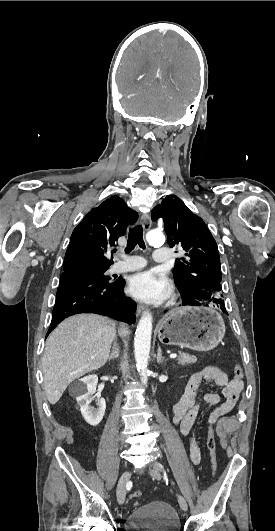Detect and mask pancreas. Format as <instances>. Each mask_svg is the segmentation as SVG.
Masks as SVG:
<instances>
[{
  "label": "pancreas",
  "mask_w": 275,
  "mask_h": 531,
  "mask_svg": "<svg viewBox=\"0 0 275 531\" xmlns=\"http://www.w3.org/2000/svg\"><path fill=\"white\" fill-rule=\"evenodd\" d=\"M178 365H193V363H196L197 357H193V355H188V353H182V351H179V359H176Z\"/></svg>",
  "instance_id": "cf45deb5"
}]
</instances>
